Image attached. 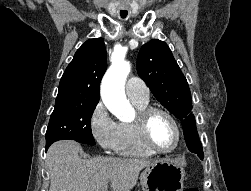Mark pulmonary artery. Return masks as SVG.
Listing matches in <instances>:
<instances>
[{
	"label": "pulmonary artery",
	"instance_id": "1",
	"mask_svg": "<svg viewBox=\"0 0 251 191\" xmlns=\"http://www.w3.org/2000/svg\"><path fill=\"white\" fill-rule=\"evenodd\" d=\"M125 91L131 100L149 99L146 84L138 78L133 77L128 79L125 84Z\"/></svg>",
	"mask_w": 251,
	"mask_h": 191
}]
</instances>
